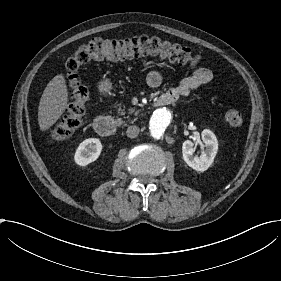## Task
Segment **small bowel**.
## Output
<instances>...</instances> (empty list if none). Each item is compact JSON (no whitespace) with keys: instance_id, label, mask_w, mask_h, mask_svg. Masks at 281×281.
<instances>
[{"instance_id":"1","label":"small bowel","mask_w":281,"mask_h":281,"mask_svg":"<svg viewBox=\"0 0 281 281\" xmlns=\"http://www.w3.org/2000/svg\"><path fill=\"white\" fill-rule=\"evenodd\" d=\"M211 72L205 68H198L194 73L181 80L175 88L166 93L162 99L159 97L154 98L153 103L156 106L165 105L175 102L176 100L186 97L195 89L205 86L211 80ZM163 80L159 72L151 70L147 74V84L150 88L156 89L161 86Z\"/></svg>"}]
</instances>
